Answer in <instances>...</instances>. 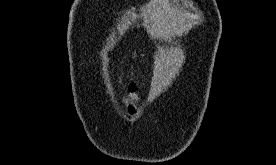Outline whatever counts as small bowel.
I'll list each match as a JSON object with an SVG mask.
<instances>
[{
  "label": "small bowel",
  "mask_w": 276,
  "mask_h": 165,
  "mask_svg": "<svg viewBox=\"0 0 276 165\" xmlns=\"http://www.w3.org/2000/svg\"><path fill=\"white\" fill-rule=\"evenodd\" d=\"M137 89H138V86L134 82L130 83L128 85V94H127L128 104H127V107H128V110L131 114H133L135 112L133 103L140 102V100H141L140 96L138 95Z\"/></svg>",
  "instance_id": "small-bowel-1"
}]
</instances>
